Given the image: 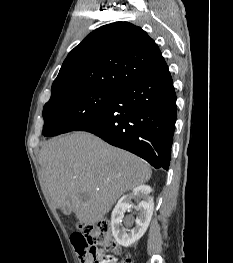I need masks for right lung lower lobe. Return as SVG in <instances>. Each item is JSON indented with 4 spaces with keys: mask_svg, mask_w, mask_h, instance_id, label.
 I'll use <instances>...</instances> for the list:
<instances>
[{
    "mask_svg": "<svg viewBox=\"0 0 233 263\" xmlns=\"http://www.w3.org/2000/svg\"><path fill=\"white\" fill-rule=\"evenodd\" d=\"M176 122V93L169 70L118 90L109 106L75 131L106 142L168 170Z\"/></svg>",
    "mask_w": 233,
    "mask_h": 263,
    "instance_id": "1",
    "label": "right lung lower lobe"
}]
</instances>
